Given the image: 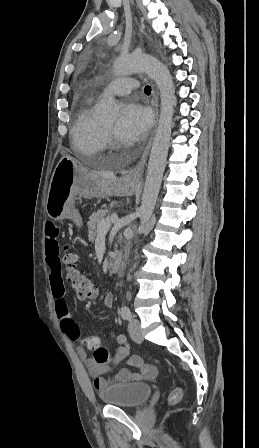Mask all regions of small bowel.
Segmentation results:
<instances>
[{"label": "small bowel", "instance_id": "1", "mask_svg": "<svg viewBox=\"0 0 259 448\" xmlns=\"http://www.w3.org/2000/svg\"><path fill=\"white\" fill-rule=\"evenodd\" d=\"M59 230L53 223H48L45 227V261L50 271V285L53 297L55 299V313L60 322V327L63 332L72 341H81L82 335L71 318L67 302L65 300V289L63 279L61 276V262L59 258V242H58ZM114 303L113 295L108 294L105 297V304L111 308ZM116 341L121 344V347L116 354L118 357H127L128 350L123 345L124 340L121 336L116 338ZM79 357L84 361L90 375L94 378L93 385L97 390H103L109 381L103 377V375L110 371V369L118 364V362H111L107 364H99L90 358L86 350L79 346L77 348ZM129 364L138 368V372H134L129 368H123L114 374L112 380L117 382H130V381H144L154 378L157 374V369L145 363L140 357L132 356L129 360Z\"/></svg>", "mask_w": 259, "mask_h": 448}]
</instances>
